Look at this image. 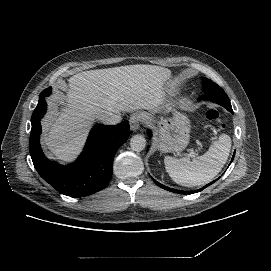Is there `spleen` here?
<instances>
[{
	"label": "spleen",
	"mask_w": 271,
	"mask_h": 271,
	"mask_svg": "<svg viewBox=\"0 0 271 271\" xmlns=\"http://www.w3.org/2000/svg\"><path fill=\"white\" fill-rule=\"evenodd\" d=\"M231 149V138L222 134L209 150L194 158L176 159L170 156L164 158V164L169 176L179 185L193 187L210 182L223 168Z\"/></svg>",
	"instance_id": "obj_1"
}]
</instances>
